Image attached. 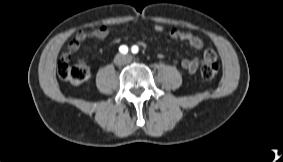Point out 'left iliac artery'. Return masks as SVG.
<instances>
[{
  "instance_id": "1",
  "label": "left iliac artery",
  "mask_w": 283,
  "mask_h": 162,
  "mask_svg": "<svg viewBox=\"0 0 283 162\" xmlns=\"http://www.w3.org/2000/svg\"><path fill=\"white\" fill-rule=\"evenodd\" d=\"M132 52H133L134 54H136V53L138 52V47H137V46H133V47H132Z\"/></svg>"
}]
</instances>
